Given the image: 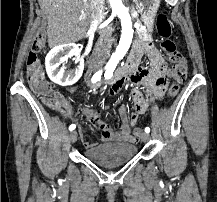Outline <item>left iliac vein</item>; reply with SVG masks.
Listing matches in <instances>:
<instances>
[{
	"mask_svg": "<svg viewBox=\"0 0 217 202\" xmlns=\"http://www.w3.org/2000/svg\"><path fill=\"white\" fill-rule=\"evenodd\" d=\"M150 136L148 133H141L140 134V139L143 141V142H147L149 140Z\"/></svg>",
	"mask_w": 217,
	"mask_h": 202,
	"instance_id": "4c4485c4",
	"label": "left iliac vein"
}]
</instances>
